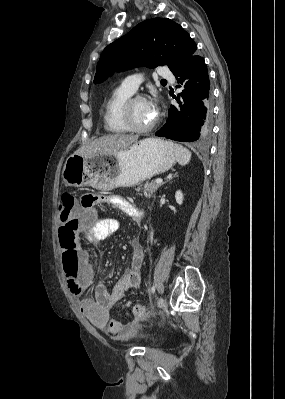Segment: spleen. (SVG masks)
Returning <instances> with one entry per match:
<instances>
[{"instance_id":"obj_1","label":"spleen","mask_w":285,"mask_h":399,"mask_svg":"<svg viewBox=\"0 0 285 399\" xmlns=\"http://www.w3.org/2000/svg\"><path fill=\"white\" fill-rule=\"evenodd\" d=\"M170 144L175 152L176 161L182 166L188 164L191 160V152L182 145Z\"/></svg>"}]
</instances>
